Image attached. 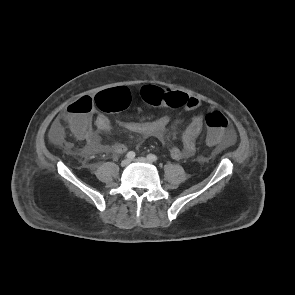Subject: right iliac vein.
Masks as SVG:
<instances>
[{
    "instance_id": "obj_1",
    "label": "right iliac vein",
    "mask_w": 295,
    "mask_h": 295,
    "mask_svg": "<svg viewBox=\"0 0 295 295\" xmlns=\"http://www.w3.org/2000/svg\"><path fill=\"white\" fill-rule=\"evenodd\" d=\"M130 164V160L129 159H124L122 162H121V166L122 167H126Z\"/></svg>"
}]
</instances>
